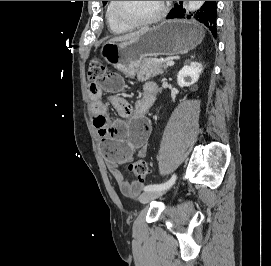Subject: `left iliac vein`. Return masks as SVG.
Here are the masks:
<instances>
[{"instance_id": "4c4485c4", "label": "left iliac vein", "mask_w": 271, "mask_h": 266, "mask_svg": "<svg viewBox=\"0 0 271 266\" xmlns=\"http://www.w3.org/2000/svg\"><path fill=\"white\" fill-rule=\"evenodd\" d=\"M165 192H166V190L146 191L140 195L139 201L141 203H148V202L160 197Z\"/></svg>"}]
</instances>
